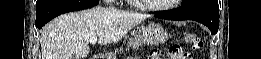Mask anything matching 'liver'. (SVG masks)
<instances>
[{"label": "liver", "mask_w": 261, "mask_h": 59, "mask_svg": "<svg viewBox=\"0 0 261 59\" xmlns=\"http://www.w3.org/2000/svg\"><path fill=\"white\" fill-rule=\"evenodd\" d=\"M145 19L143 14L101 6L63 14L42 29V59H84L90 38L98 37L100 45L116 43Z\"/></svg>", "instance_id": "1"}]
</instances>
